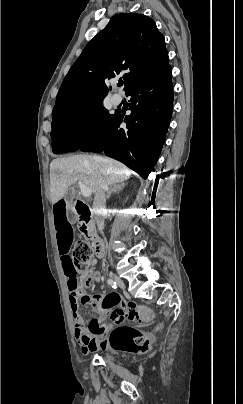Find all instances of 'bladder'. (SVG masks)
I'll list each match as a JSON object with an SVG mask.
<instances>
[{
  "mask_svg": "<svg viewBox=\"0 0 243 404\" xmlns=\"http://www.w3.org/2000/svg\"><path fill=\"white\" fill-rule=\"evenodd\" d=\"M102 358L105 362H110L111 361V356L109 353L105 352L102 354Z\"/></svg>",
  "mask_w": 243,
  "mask_h": 404,
  "instance_id": "31cf9c89",
  "label": "bladder"
}]
</instances>
